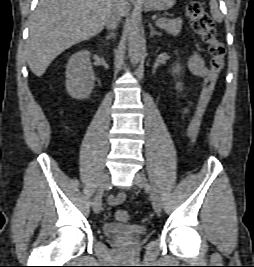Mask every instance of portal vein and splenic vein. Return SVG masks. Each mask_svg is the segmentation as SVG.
Here are the masks:
<instances>
[{
    "label": "portal vein and splenic vein",
    "mask_w": 254,
    "mask_h": 267,
    "mask_svg": "<svg viewBox=\"0 0 254 267\" xmlns=\"http://www.w3.org/2000/svg\"><path fill=\"white\" fill-rule=\"evenodd\" d=\"M166 17L159 18L155 21L156 25H160L161 23H164L166 21Z\"/></svg>",
    "instance_id": "portal-vein-and-splenic-vein-1"
}]
</instances>
